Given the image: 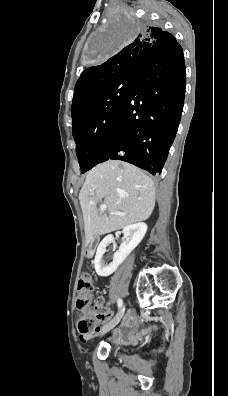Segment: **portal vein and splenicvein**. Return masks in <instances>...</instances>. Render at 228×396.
Segmentation results:
<instances>
[{"instance_id":"obj_1","label":"portal vein and splenic vein","mask_w":228,"mask_h":396,"mask_svg":"<svg viewBox=\"0 0 228 396\" xmlns=\"http://www.w3.org/2000/svg\"><path fill=\"white\" fill-rule=\"evenodd\" d=\"M107 208L106 204H100V210L105 211ZM111 215H119V216H124L125 214L122 212H111Z\"/></svg>"}]
</instances>
